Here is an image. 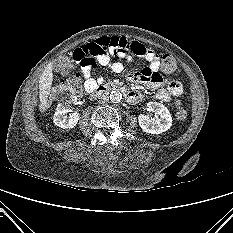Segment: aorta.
I'll use <instances>...</instances> for the list:
<instances>
[{
	"label": "aorta",
	"instance_id": "obj_1",
	"mask_svg": "<svg viewBox=\"0 0 233 233\" xmlns=\"http://www.w3.org/2000/svg\"><path fill=\"white\" fill-rule=\"evenodd\" d=\"M121 99H122V94L120 91L115 90L110 93V100L112 102L118 103L121 101Z\"/></svg>",
	"mask_w": 233,
	"mask_h": 233
}]
</instances>
